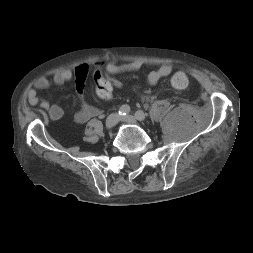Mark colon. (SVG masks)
Here are the masks:
<instances>
[{"mask_svg": "<svg viewBox=\"0 0 253 253\" xmlns=\"http://www.w3.org/2000/svg\"><path fill=\"white\" fill-rule=\"evenodd\" d=\"M93 80L96 85L97 95L104 100H110L115 88H122L125 84L116 75L110 74L103 63H97L93 70ZM173 88L182 90L188 87L189 78L185 73H176L171 78Z\"/></svg>", "mask_w": 253, "mask_h": 253, "instance_id": "5ec220e1", "label": "colon"}]
</instances>
